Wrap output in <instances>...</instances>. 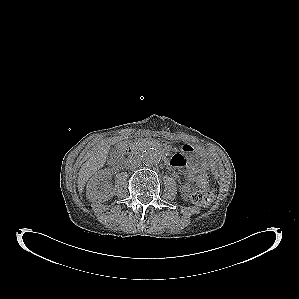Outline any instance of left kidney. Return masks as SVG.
Returning <instances> with one entry per match:
<instances>
[{
  "mask_svg": "<svg viewBox=\"0 0 299 299\" xmlns=\"http://www.w3.org/2000/svg\"><path fill=\"white\" fill-rule=\"evenodd\" d=\"M189 188L188 186H184V191L188 192Z\"/></svg>",
  "mask_w": 299,
  "mask_h": 299,
  "instance_id": "5707ae66",
  "label": "left kidney"
}]
</instances>
